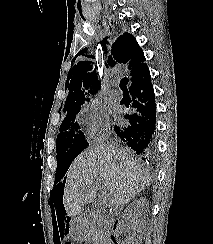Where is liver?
Wrapping results in <instances>:
<instances>
[{"instance_id": "6515ba94", "label": "liver", "mask_w": 213, "mask_h": 244, "mask_svg": "<svg viewBox=\"0 0 213 244\" xmlns=\"http://www.w3.org/2000/svg\"><path fill=\"white\" fill-rule=\"evenodd\" d=\"M151 177L127 152L109 144H100L82 152L71 164L63 194L67 215L75 217L96 197V183H102L107 202L123 207L150 185Z\"/></svg>"}]
</instances>
